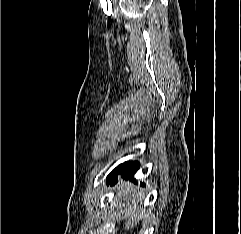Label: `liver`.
Returning a JSON list of instances; mask_svg holds the SVG:
<instances>
[{
    "label": "liver",
    "mask_w": 241,
    "mask_h": 234,
    "mask_svg": "<svg viewBox=\"0 0 241 234\" xmlns=\"http://www.w3.org/2000/svg\"><path fill=\"white\" fill-rule=\"evenodd\" d=\"M142 193L135 186L122 185L119 193L115 196V199L119 202L118 214L124 221L123 225L125 229L132 226H136V216L139 210V204L142 200ZM143 212V210H141Z\"/></svg>",
    "instance_id": "1"
}]
</instances>
